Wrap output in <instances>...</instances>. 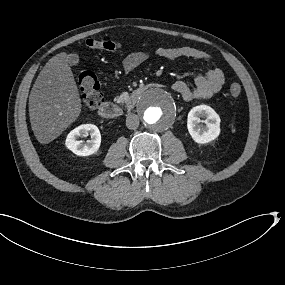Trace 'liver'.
<instances>
[{"mask_svg":"<svg viewBox=\"0 0 285 285\" xmlns=\"http://www.w3.org/2000/svg\"><path fill=\"white\" fill-rule=\"evenodd\" d=\"M66 52L56 54L39 73L29 96V118L40 144H49L82 112L79 88Z\"/></svg>","mask_w":285,"mask_h":285,"instance_id":"liver-1","label":"liver"}]
</instances>
